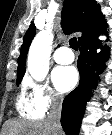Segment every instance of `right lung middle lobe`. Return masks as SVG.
<instances>
[{
    "label": "right lung middle lobe",
    "instance_id": "obj_1",
    "mask_svg": "<svg viewBox=\"0 0 112 135\" xmlns=\"http://www.w3.org/2000/svg\"><path fill=\"white\" fill-rule=\"evenodd\" d=\"M21 80H22V78H19L16 80L17 86H19V84L21 83Z\"/></svg>",
    "mask_w": 112,
    "mask_h": 135
}]
</instances>
